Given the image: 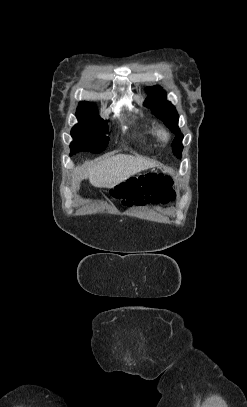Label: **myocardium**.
<instances>
[{"mask_svg":"<svg viewBox=\"0 0 247 407\" xmlns=\"http://www.w3.org/2000/svg\"><path fill=\"white\" fill-rule=\"evenodd\" d=\"M156 136L161 143H167L170 138L169 132L163 127L157 129Z\"/></svg>","mask_w":247,"mask_h":407,"instance_id":"1","label":"myocardium"}]
</instances>
